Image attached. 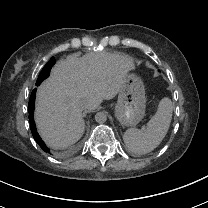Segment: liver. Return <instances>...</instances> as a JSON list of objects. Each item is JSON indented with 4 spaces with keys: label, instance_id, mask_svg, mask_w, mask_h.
<instances>
[{
    "label": "liver",
    "instance_id": "6515ba94",
    "mask_svg": "<svg viewBox=\"0 0 208 208\" xmlns=\"http://www.w3.org/2000/svg\"><path fill=\"white\" fill-rule=\"evenodd\" d=\"M132 61L123 54L95 52L61 60L38 91L36 122L45 141L58 148L78 141L85 128L82 111L113 99L134 70Z\"/></svg>",
    "mask_w": 208,
    "mask_h": 208
}]
</instances>
